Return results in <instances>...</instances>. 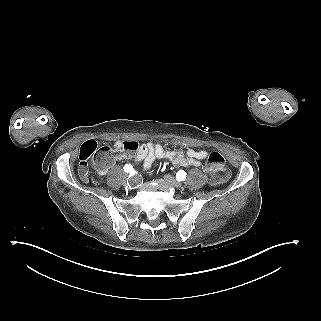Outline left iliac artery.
<instances>
[{"instance_id": "obj_1", "label": "left iliac artery", "mask_w": 321, "mask_h": 321, "mask_svg": "<svg viewBox=\"0 0 321 321\" xmlns=\"http://www.w3.org/2000/svg\"><path fill=\"white\" fill-rule=\"evenodd\" d=\"M186 172L184 170H179L177 173H176V178L179 180V181H184L186 179Z\"/></svg>"}]
</instances>
